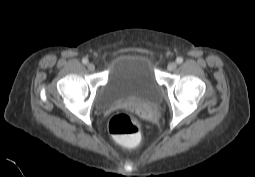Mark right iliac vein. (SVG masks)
I'll list each match as a JSON object with an SVG mask.
<instances>
[{"label": "right iliac vein", "instance_id": "obj_1", "mask_svg": "<svg viewBox=\"0 0 255 177\" xmlns=\"http://www.w3.org/2000/svg\"><path fill=\"white\" fill-rule=\"evenodd\" d=\"M87 67H88V69H89L90 71H94V70H95V65H94L93 63H89V64L87 65Z\"/></svg>", "mask_w": 255, "mask_h": 177}]
</instances>
